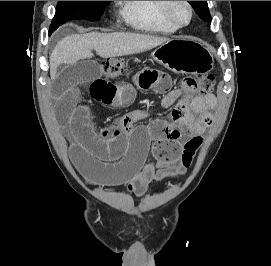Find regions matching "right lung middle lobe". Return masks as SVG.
<instances>
[{"instance_id":"right-lung-middle-lobe-1","label":"right lung middle lobe","mask_w":271,"mask_h":266,"mask_svg":"<svg viewBox=\"0 0 271 266\" xmlns=\"http://www.w3.org/2000/svg\"><path fill=\"white\" fill-rule=\"evenodd\" d=\"M108 3L109 1H58L49 35L70 20H98Z\"/></svg>"}]
</instances>
